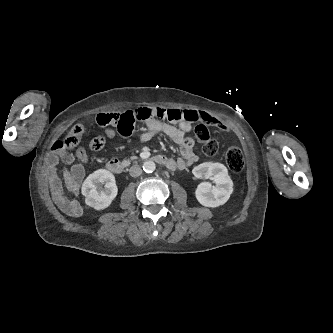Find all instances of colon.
Instances as JSON below:
<instances>
[{
  "label": "colon",
  "instance_id": "colon-1",
  "mask_svg": "<svg viewBox=\"0 0 333 333\" xmlns=\"http://www.w3.org/2000/svg\"><path fill=\"white\" fill-rule=\"evenodd\" d=\"M135 115L137 118L142 119L145 117L146 112L144 109L139 108L136 110ZM96 121L100 126L116 127L118 132L130 128V121L126 112L100 113L97 116ZM84 132L85 127L82 124H75L63 139L57 140L53 144L52 152L56 156H60L68 149H75ZM195 136L198 142L202 145V151L206 156H213L218 152V142L210 137L209 131L204 124H197L195 127ZM105 142L106 140L104 137H96L90 141L88 147L91 151H98L104 147ZM225 161L228 168L234 173L241 172L245 165L242 150L236 145H232L227 149Z\"/></svg>",
  "mask_w": 333,
  "mask_h": 333
}]
</instances>
